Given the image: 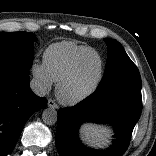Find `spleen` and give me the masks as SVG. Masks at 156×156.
Segmentation results:
<instances>
[{
  "instance_id": "1",
  "label": "spleen",
  "mask_w": 156,
  "mask_h": 156,
  "mask_svg": "<svg viewBox=\"0 0 156 156\" xmlns=\"http://www.w3.org/2000/svg\"><path fill=\"white\" fill-rule=\"evenodd\" d=\"M112 130L107 126L84 124L80 128L82 140L90 146L104 148L110 143Z\"/></svg>"
}]
</instances>
